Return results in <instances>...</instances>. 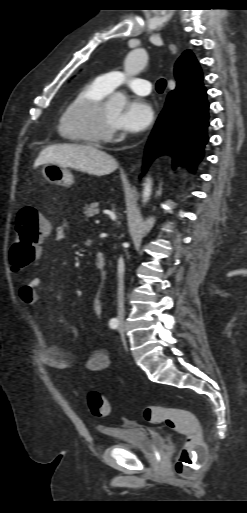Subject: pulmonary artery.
Returning <instances> with one entry per match:
<instances>
[{
  "label": "pulmonary artery",
  "instance_id": "pulmonary-artery-1",
  "mask_svg": "<svg viewBox=\"0 0 247 513\" xmlns=\"http://www.w3.org/2000/svg\"><path fill=\"white\" fill-rule=\"evenodd\" d=\"M97 80L106 89L112 91L114 88L126 84L133 92L139 95H148L151 92V83L141 78L127 79L123 72L112 71L97 77Z\"/></svg>",
  "mask_w": 247,
  "mask_h": 513
}]
</instances>
